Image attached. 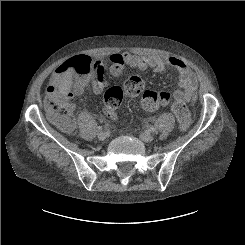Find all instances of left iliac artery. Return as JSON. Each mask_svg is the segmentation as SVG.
<instances>
[{"label":"left iliac artery","mask_w":245,"mask_h":245,"mask_svg":"<svg viewBox=\"0 0 245 245\" xmlns=\"http://www.w3.org/2000/svg\"><path fill=\"white\" fill-rule=\"evenodd\" d=\"M154 131H155V128L154 127L147 128V132H154Z\"/></svg>","instance_id":"obj_1"}]
</instances>
